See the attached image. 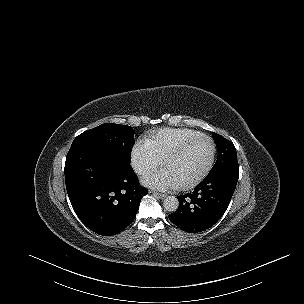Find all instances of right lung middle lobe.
Here are the masks:
<instances>
[{"label":"right lung middle lobe","instance_id":"right-lung-middle-lobe-1","mask_svg":"<svg viewBox=\"0 0 304 304\" xmlns=\"http://www.w3.org/2000/svg\"><path fill=\"white\" fill-rule=\"evenodd\" d=\"M134 143V129L132 127L106 123L77 136L71 147L90 144L108 149L114 154L118 164L129 166Z\"/></svg>","mask_w":304,"mask_h":304}]
</instances>
